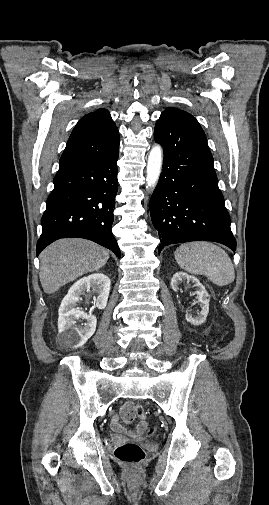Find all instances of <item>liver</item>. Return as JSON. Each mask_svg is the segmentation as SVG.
Instances as JSON below:
<instances>
[{
    "mask_svg": "<svg viewBox=\"0 0 269 505\" xmlns=\"http://www.w3.org/2000/svg\"><path fill=\"white\" fill-rule=\"evenodd\" d=\"M109 252L98 244L78 238L60 239L40 254L39 278L45 293L51 294L78 277L102 268Z\"/></svg>",
    "mask_w": 269,
    "mask_h": 505,
    "instance_id": "6515ba94",
    "label": "liver"
}]
</instances>
